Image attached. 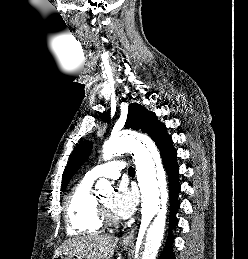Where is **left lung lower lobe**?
<instances>
[{
    "label": "left lung lower lobe",
    "mask_w": 248,
    "mask_h": 259,
    "mask_svg": "<svg viewBox=\"0 0 248 259\" xmlns=\"http://www.w3.org/2000/svg\"><path fill=\"white\" fill-rule=\"evenodd\" d=\"M161 153L162 161L165 166L166 172L169 178L170 185V218H169V231L172 227L177 224L175 213L180 206L178 201V193L180 191V183L178 181L179 167L177 165V152L173 147L172 140L163 143L158 147ZM173 237L171 233L167 238L163 252L161 253L159 259H175L172 251Z\"/></svg>",
    "instance_id": "0a47b994"
}]
</instances>
